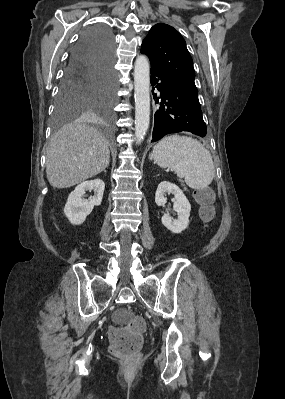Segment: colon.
Returning <instances> with one entry per match:
<instances>
[{
	"mask_svg": "<svg viewBox=\"0 0 285 399\" xmlns=\"http://www.w3.org/2000/svg\"><path fill=\"white\" fill-rule=\"evenodd\" d=\"M195 196L202 205L203 220L206 222L211 220L213 216L211 194L207 189H202L198 190ZM144 328V322L139 317H130L124 325L113 328L109 332L111 352L121 358L135 357L143 344Z\"/></svg>",
	"mask_w": 285,
	"mask_h": 399,
	"instance_id": "obj_1",
	"label": "colon"
}]
</instances>
